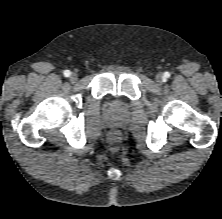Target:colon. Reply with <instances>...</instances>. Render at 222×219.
Returning <instances> with one entry per match:
<instances>
[{
    "mask_svg": "<svg viewBox=\"0 0 222 219\" xmlns=\"http://www.w3.org/2000/svg\"><path fill=\"white\" fill-rule=\"evenodd\" d=\"M107 141L113 149H116L121 142V134L118 131H111L108 134Z\"/></svg>",
    "mask_w": 222,
    "mask_h": 219,
    "instance_id": "obj_1",
    "label": "colon"
}]
</instances>
